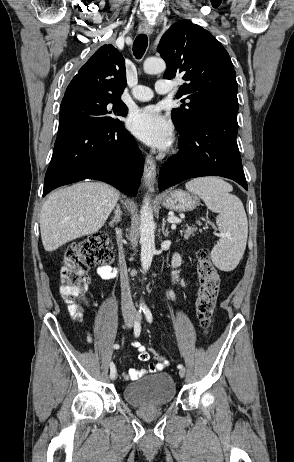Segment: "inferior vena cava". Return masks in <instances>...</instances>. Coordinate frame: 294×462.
Masks as SVG:
<instances>
[{
    "label": "inferior vena cava",
    "instance_id": "602c4592",
    "mask_svg": "<svg viewBox=\"0 0 294 462\" xmlns=\"http://www.w3.org/2000/svg\"><path fill=\"white\" fill-rule=\"evenodd\" d=\"M120 271H121V290H122V297H121V306L122 312L124 315L126 314H134L135 307L131 296V291L129 288V281L127 275L126 265L124 260H120Z\"/></svg>",
    "mask_w": 294,
    "mask_h": 462
}]
</instances>
